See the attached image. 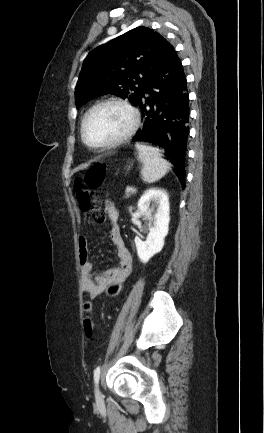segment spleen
<instances>
[{
    "label": "spleen",
    "mask_w": 264,
    "mask_h": 433,
    "mask_svg": "<svg viewBox=\"0 0 264 433\" xmlns=\"http://www.w3.org/2000/svg\"><path fill=\"white\" fill-rule=\"evenodd\" d=\"M139 159L143 163L141 176L144 182L154 183L164 177L171 165L162 158L158 148L136 143Z\"/></svg>",
    "instance_id": "spleen-1"
}]
</instances>
